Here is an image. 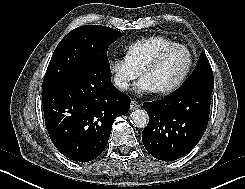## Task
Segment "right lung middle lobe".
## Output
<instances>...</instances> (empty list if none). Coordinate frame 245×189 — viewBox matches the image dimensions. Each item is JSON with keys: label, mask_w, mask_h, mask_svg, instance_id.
I'll return each mask as SVG.
<instances>
[{"label": "right lung middle lobe", "mask_w": 245, "mask_h": 189, "mask_svg": "<svg viewBox=\"0 0 245 189\" xmlns=\"http://www.w3.org/2000/svg\"><path fill=\"white\" fill-rule=\"evenodd\" d=\"M123 33L101 26H80L68 33L57 45L42 83L47 89L80 74L93 66L110 68L109 46Z\"/></svg>", "instance_id": "obj_1"}]
</instances>
